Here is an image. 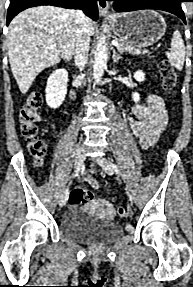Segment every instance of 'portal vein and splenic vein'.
<instances>
[{
  "label": "portal vein and splenic vein",
  "instance_id": "1",
  "mask_svg": "<svg viewBox=\"0 0 193 287\" xmlns=\"http://www.w3.org/2000/svg\"><path fill=\"white\" fill-rule=\"evenodd\" d=\"M113 46H118V42L116 40L112 41Z\"/></svg>",
  "mask_w": 193,
  "mask_h": 287
}]
</instances>
